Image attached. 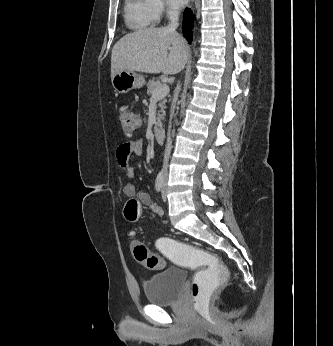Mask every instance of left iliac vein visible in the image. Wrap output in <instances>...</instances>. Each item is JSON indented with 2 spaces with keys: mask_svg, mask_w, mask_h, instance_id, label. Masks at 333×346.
<instances>
[{
  "mask_svg": "<svg viewBox=\"0 0 333 346\" xmlns=\"http://www.w3.org/2000/svg\"><path fill=\"white\" fill-rule=\"evenodd\" d=\"M167 179H168V174L166 173L165 177H164V186H163V189H162V199H163V201L167 200V185H166Z\"/></svg>",
  "mask_w": 333,
  "mask_h": 346,
  "instance_id": "1",
  "label": "left iliac vein"
}]
</instances>
